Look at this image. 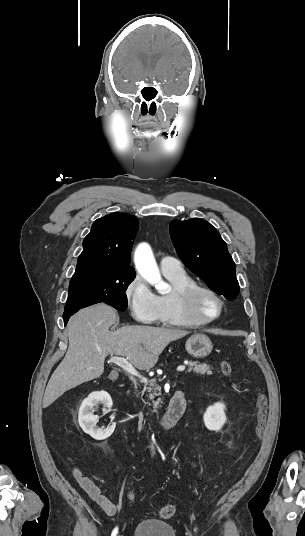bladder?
I'll return each mask as SVG.
<instances>
[{"label":"bladder","instance_id":"1","mask_svg":"<svg viewBox=\"0 0 305 536\" xmlns=\"http://www.w3.org/2000/svg\"><path fill=\"white\" fill-rule=\"evenodd\" d=\"M132 536H175V529L168 520L145 518L134 526Z\"/></svg>","mask_w":305,"mask_h":536}]
</instances>
